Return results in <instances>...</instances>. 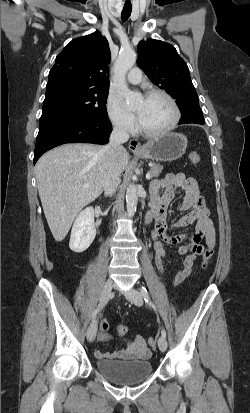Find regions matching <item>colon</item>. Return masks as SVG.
<instances>
[{
  "mask_svg": "<svg viewBox=\"0 0 250 413\" xmlns=\"http://www.w3.org/2000/svg\"><path fill=\"white\" fill-rule=\"evenodd\" d=\"M189 160L193 164H197L200 161V156L193 152L189 155ZM213 256V249L210 247H206L202 253V267L207 268L209 261L211 260ZM109 323L107 320H102L100 323V330L103 332H106L108 330ZM115 328H117L116 333L118 334V337H124L127 334V326L124 325L123 322H117L115 323ZM148 344L150 347H154L156 344V340L153 337H150L148 339Z\"/></svg>",
  "mask_w": 250,
  "mask_h": 413,
  "instance_id": "1",
  "label": "colon"
}]
</instances>
